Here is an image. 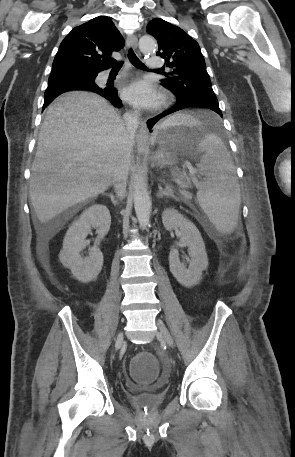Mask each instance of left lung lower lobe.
<instances>
[{"instance_id":"0a47b994","label":"left lung lower lobe","mask_w":295,"mask_h":457,"mask_svg":"<svg viewBox=\"0 0 295 457\" xmlns=\"http://www.w3.org/2000/svg\"><path fill=\"white\" fill-rule=\"evenodd\" d=\"M193 106H200V107H206L209 108L216 113H218L222 117L221 110L219 109L218 101L215 95H202V96H192L189 97L188 99H184L182 101L177 100V106L163 112L162 114L148 120L147 125L148 128H152V126L162 117L171 114L173 112H176L178 110L187 108V107H193Z\"/></svg>"}]
</instances>
